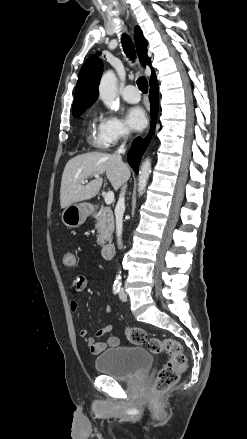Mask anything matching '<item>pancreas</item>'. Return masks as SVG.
Masks as SVG:
<instances>
[{"mask_svg":"<svg viewBox=\"0 0 247 439\" xmlns=\"http://www.w3.org/2000/svg\"><path fill=\"white\" fill-rule=\"evenodd\" d=\"M92 216L96 219L97 244L103 246L105 242L112 240L114 231L113 212L110 208L101 207L98 212H92Z\"/></svg>","mask_w":247,"mask_h":439,"instance_id":"1","label":"pancreas"}]
</instances>
